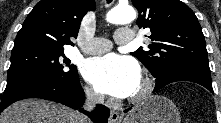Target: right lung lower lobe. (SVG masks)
<instances>
[{
  "instance_id": "obj_1",
  "label": "right lung lower lobe",
  "mask_w": 221,
  "mask_h": 123,
  "mask_svg": "<svg viewBox=\"0 0 221 123\" xmlns=\"http://www.w3.org/2000/svg\"><path fill=\"white\" fill-rule=\"evenodd\" d=\"M26 98H41L78 109L83 105L85 96L78 76L68 81L55 82H47L39 77L25 78L7 82L0 112L10 104ZM80 111L89 116L94 123H107L110 114L109 109L100 104L92 112L83 109Z\"/></svg>"
}]
</instances>
